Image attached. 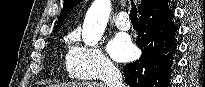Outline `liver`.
<instances>
[{
	"label": "liver",
	"mask_w": 205,
	"mask_h": 87,
	"mask_svg": "<svg viewBox=\"0 0 205 87\" xmlns=\"http://www.w3.org/2000/svg\"><path fill=\"white\" fill-rule=\"evenodd\" d=\"M53 87H106V85L104 83H96V82H73V83L56 84Z\"/></svg>",
	"instance_id": "liver-1"
}]
</instances>
